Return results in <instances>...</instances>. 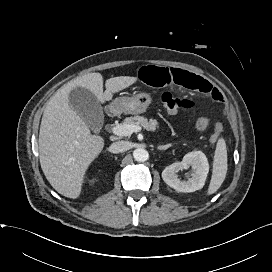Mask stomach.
<instances>
[{"mask_svg": "<svg viewBox=\"0 0 272 272\" xmlns=\"http://www.w3.org/2000/svg\"><path fill=\"white\" fill-rule=\"evenodd\" d=\"M151 103V95L142 92L133 97L116 98L111 104V109L116 113L140 114L144 113Z\"/></svg>", "mask_w": 272, "mask_h": 272, "instance_id": "1", "label": "stomach"}]
</instances>
